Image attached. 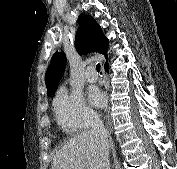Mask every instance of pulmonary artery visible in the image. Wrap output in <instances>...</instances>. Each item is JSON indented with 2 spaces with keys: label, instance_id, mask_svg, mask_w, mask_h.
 Listing matches in <instances>:
<instances>
[{
  "label": "pulmonary artery",
  "instance_id": "e3ab8cb5",
  "mask_svg": "<svg viewBox=\"0 0 177 169\" xmlns=\"http://www.w3.org/2000/svg\"><path fill=\"white\" fill-rule=\"evenodd\" d=\"M85 80L90 83H94L98 80V74L95 71L94 66L90 65L85 72Z\"/></svg>",
  "mask_w": 177,
  "mask_h": 169
}]
</instances>
